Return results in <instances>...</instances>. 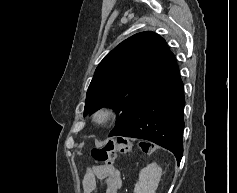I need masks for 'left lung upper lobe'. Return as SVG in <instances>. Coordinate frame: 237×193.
I'll return each instance as SVG.
<instances>
[{
	"instance_id": "obj_1",
	"label": "left lung upper lobe",
	"mask_w": 237,
	"mask_h": 193,
	"mask_svg": "<svg viewBox=\"0 0 237 193\" xmlns=\"http://www.w3.org/2000/svg\"><path fill=\"white\" fill-rule=\"evenodd\" d=\"M174 59L156 33L141 32L124 40L97 67L87 91L84 116L102 107L121 112L109 137L118 135L131 121L144 93Z\"/></svg>"
}]
</instances>
